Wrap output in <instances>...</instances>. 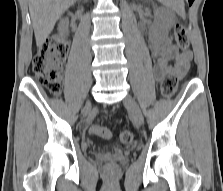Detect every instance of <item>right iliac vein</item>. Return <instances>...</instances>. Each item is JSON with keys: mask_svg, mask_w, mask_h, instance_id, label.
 Wrapping results in <instances>:
<instances>
[{"mask_svg": "<svg viewBox=\"0 0 223 191\" xmlns=\"http://www.w3.org/2000/svg\"><path fill=\"white\" fill-rule=\"evenodd\" d=\"M90 107H91V104L88 103L87 106H86V110L88 111L90 109Z\"/></svg>", "mask_w": 223, "mask_h": 191, "instance_id": "1", "label": "right iliac vein"}]
</instances>
